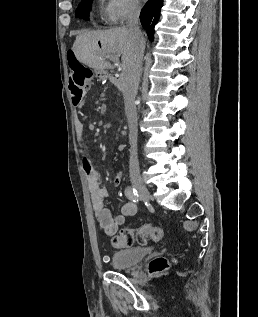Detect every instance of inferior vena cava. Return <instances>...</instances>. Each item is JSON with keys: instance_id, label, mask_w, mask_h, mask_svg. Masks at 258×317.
Here are the masks:
<instances>
[{"instance_id": "obj_1", "label": "inferior vena cava", "mask_w": 258, "mask_h": 317, "mask_svg": "<svg viewBox=\"0 0 258 317\" xmlns=\"http://www.w3.org/2000/svg\"><path fill=\"white\" fill-rule=\"evenodd\" d=\"M139 12V4L134 2V0H131L129 4L127 26L131 34L134 52L124 78V98L125 112L129 126V169L132 181H137L141 177L139 174V163L137 159V112L136 106L134 104L135 96L139 86L140 74L142 72V60L145 48V40L138 24Z\"/></svg>"}]
</instances>
